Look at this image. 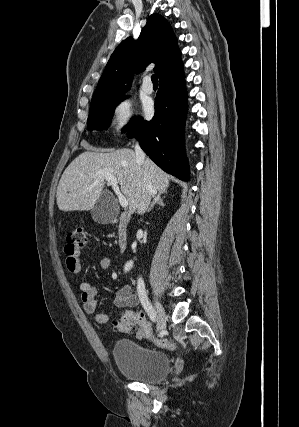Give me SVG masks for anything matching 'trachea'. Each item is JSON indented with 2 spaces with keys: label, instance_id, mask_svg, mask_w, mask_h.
Segmentation results:
<instances>
[{
  "label": "trachea",
  "instance_id": "1",
  "mask_svg": "<svg viewBox=\"0 0 299 427\" xmlns=\"http://www.w3.org/2000/svg\"><path fill=\"white\" fill-rule=\"evenodd\" d=\"M151 80H152L153 84H158V77H157V74H153V75L151 76Z\"/></svg>",
  "mask_w": 299,
  "mask_h": 427
}]
</instances>
